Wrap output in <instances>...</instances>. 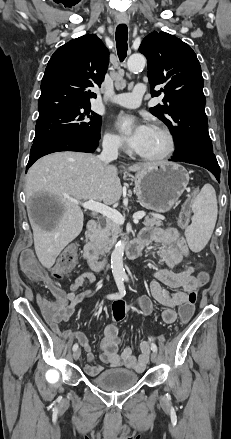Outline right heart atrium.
<instances>
[{"label":"right heart atrium","mask_w":231,"mask_h":439,"mask_svg":"<svg viewBox=\"0 0 231 439\" xmlns=\"http://www.w3.org/2000/svg\"><path fill=\"white\" fill-rule=\"evenodd\" d=\"M103 145L110 150H119L123 147L121 139L114 133L107 131L103 136Z\"/></svg>","instance_id":"d8ad5b80"}]
</instances>
